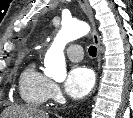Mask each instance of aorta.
I'll return each instance as SVG.
<instances>
[{"label": "aorta", "mask_w": 133, "mask_h": 118, "mask_svg": "<svg viewBox=\"0 0 133 118\" xmlns=\"http://www.w3.org/2000/svg\"><path fill=\"white\" fill-rule=\"evenodd\" d=\"M89 30L90 28L85 22L69 21L62 24L61 30L45 56L46 75L55 80H64L66 78L64 48L67 43L87 35Z\"/></svg>", "instance_id": "1"}]
</instances>
